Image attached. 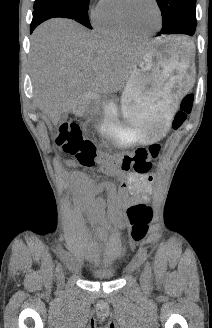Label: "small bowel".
<instances>
[{"mask_svg":"<svg viewBox=\"0 0 212 328\" xmlns=\"http://www.w3.org/2000/svg\"><path fill=\"white\" fill-rule=\"evenodd\" d=\"M69 166L74 162L68 160ZM104 176L117 178L121 185L120 191L109 180H101ZM155 175L137 173L134 170H113L112 173H98L92 178L83 173L75 174L72 178L74 195L85 206L91 226L99 237H104L108 231L118 226L119 213L133 200L124 199L125 192H138L145 185L153 183Z\"/></svg>","mask_w":212,"mask_h":328,"instance_id":"obj_1","label":"small bowel"}]
</instances>
